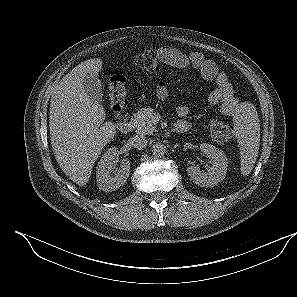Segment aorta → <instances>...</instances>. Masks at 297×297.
<instances>
[{
    "label": "aorta",
    "mask_w": 297,
    "mask_h": 297,
    "mask_svg": "<svg viewBox=\"0 0 297 297\" xmlns=\"http://www.w3.org/2000/svg\"><path fill=\"white\" fill-rule=\"evenodd\" d=\"M152 153L155 157H163L167 153V148L161 143L152 146Z\"/></svg>",
    "instance_id": "762f6f07"
}]
</instances>
